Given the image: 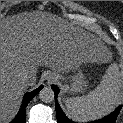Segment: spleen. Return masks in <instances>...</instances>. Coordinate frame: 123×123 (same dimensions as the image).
<instances>
[{
    "mask_svg": "<svg viewBox=\"0 0 123 123\" xmlns=\"http://www.w3.org/2000/svg\"><path fill=\"white\" fill-rule=\"evenodd\" d=\"M123 79L116 63L106 70L100 84L84 96L65 100L69 115L76 121L87 122L100 119L111 113L119 104Z\"/></svg>",
    "mask_w": 123,
    "mask_h": 123,
    "instance_id": "obj_1",
    "label": "spleen"
}]
</instances>
